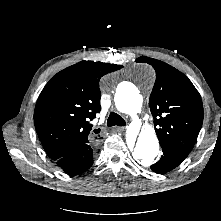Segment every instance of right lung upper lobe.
Returning a JSON list of instances; mask_svg holds the SVG:
<instances>
[{"label":"right lung upper lobe","instance_id":"obj_1","mask_svg":"<svg viewBox=\"0 0 221 221\" xmlns=\"http://www.w3.org/2000/svg\"><path fill=\"white\" fill-rule=\"evenodd\" d=\"M123 66L81 61L57 73L44 87L34 111L39 139L52 160H58L97 139L91 121L100 111V78Z\"/></svg>","mask_w":221,"mask_h":221}]
</instances>
